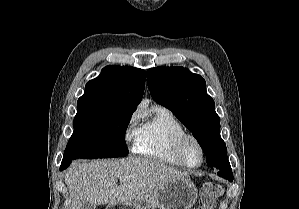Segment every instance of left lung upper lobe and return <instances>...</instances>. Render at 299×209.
<instances>
[{
  "instance_id": "obj_1",
  "label": "left lung upper lobe",
  "mask_w": 299,
  "mask_h": 209,
  "mask_svg": "<svg viewBox=\"0 0 299 209\" xmlns=\"http://www.w3.org/2000/svg\"><path fill=\"white\" fill-rule=\"evenodd\" d=\"M147 84L152 98L170 109L192 132L209 166L222 169L230 165L215 103L200 75L183 67H157L147 70Z\"/></svg>"
}]
</instances>
